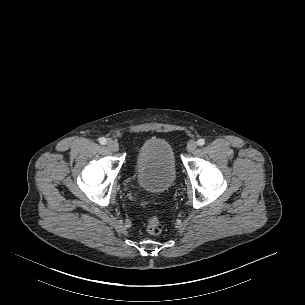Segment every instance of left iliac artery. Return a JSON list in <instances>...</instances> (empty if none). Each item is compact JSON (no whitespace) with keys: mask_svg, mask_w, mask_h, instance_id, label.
Segmentation results:
<instances>
[{"mask_svg":"<svg viewBox=\"0 0 305 305\" xmlns=\"http://www.w3.org/2000/svg\"><path fill=\"white\" fill-rule=\"evenodd\" d=\"M197 144H198L199 146H203V145L205 144V140H204V139H199V140L197 141Z\"/></svg>","mask_w":305,"mask_h":305,"instance_id":"44dca946","label":"left iliac artery"}]
</instances>
